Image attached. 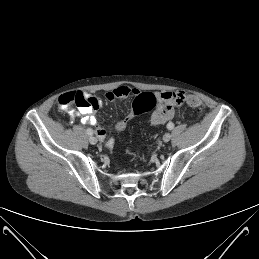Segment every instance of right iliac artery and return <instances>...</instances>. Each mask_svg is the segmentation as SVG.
Listing matches in <instances>:
<instances>
[{
    "label": "right iliac artery",
    "instance_id": "1",
    "mask_svg": "<svg viewBox=\"0 0 259 259\" xmlns=\"http://www.w3.org/2000/svg\"><path fill=\"white\" fill-rule=\"evenodd\" d=\"M86 132H87L88 135H93V130L90 129V128H88V129L86 130Z\"/></svg>",
    "mask_w": 259,
    "mask_h": 259
}]
</instances>
